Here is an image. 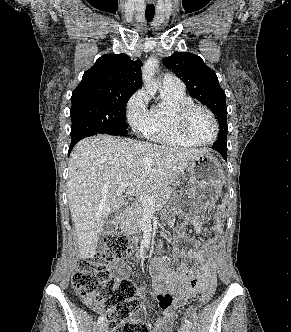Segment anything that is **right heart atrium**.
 I'll return each instance as SVG.
<instances>
[{"label":"right heart atrium","mask_w":291,"mask_h":332,"mask_svg":"<svg viewBox=\"0 0 291 332\" xmlns=\"http://www.w3.org/2000/svg\"><path fill=\"white\" fill-rule=\"evenodd\" d=\"M148 112V97L143 90H139L127 104V118L131 126L141 129L147 122Z\"/></svg>","instance_id":"1"}]
</instances>
